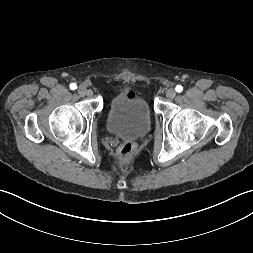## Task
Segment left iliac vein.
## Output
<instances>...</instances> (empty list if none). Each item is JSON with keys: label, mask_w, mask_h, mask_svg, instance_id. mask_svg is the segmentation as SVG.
I'll return each instance as SVG.
<instances>
[{"label": "left iliac vein", "mask_w": 253, "mask_h": 253, "mask_svg": "<svg viewBox=\"0 0 253 253\" xmlns=\"http://www.w3.org/2000/svg\"><path fill=\"white\" fill-rule=\"evenodd\" d=\"M176 96V91L174 88H170L166 92V97L169 99H173Z\"/></svg>", "instance_id": "obj_1"}]
</instances>
